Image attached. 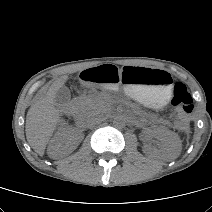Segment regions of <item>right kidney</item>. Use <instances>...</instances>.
<instances>
[{"label":"right kidney","mask_w":212,"mask_h":212,"mask_svg":"<svg viewBox=\"0 0 212 212\" xmlns=\"http://www.w3.org/2000/svg\"><path fill=\"white\" fill-rule=\"evenodd\" d=\"M82 131L75 128L60 127L48 146L50 158L59 159L71 154L83 140Z\"/></svg>","instance_id":"obj_1"}]
</instances>
